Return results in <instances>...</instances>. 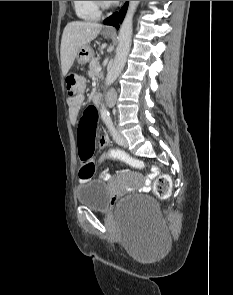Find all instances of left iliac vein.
Segmentation results:
<instances>
[{
  "label": "left iliac vein",
  "instance_id": "4c4485c4",
  "mask_svg": "<svg viewBox=\"0 0 233 295\" xmlns=\"http://www.w3.org/2000/svg\"><path fill=\"white\" fill-rule=\"evenodd\" d=\"M119 136L121 138V144H119V145H121L123 147H127L128 146V142H127L126 138L124 136H122L121 134H119Z\"/></svg>",
  "mask_w": 233,
  "mask_h": 295
}]
</instances>
